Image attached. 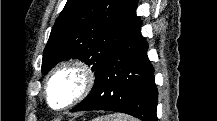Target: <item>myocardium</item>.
<instances>
[{
  "instance_id": "myocardium-1",
  "label": "myocardium",
  "mask_w": 217,
  "mask_h": 121,
  "mask_svg": "<svg viewBox=\"0 0 217 121\" xmlns=\"http://www.w3.org/2000/svg\"><path fill=\"white\" fill-rule=\"evenodd\" d=\"M72 72L77 75L80 85L75 95L63 106L55 107L51 103L50 89L53 81L63 73ZM96 83V74L94 69L88 63L79 60L72 59L67 62L61 63L49 74L45 82L44 96L48 106L54 111H64L74 106L93 90Z\"/></svg>"
}]
</instances>
